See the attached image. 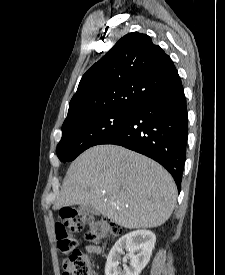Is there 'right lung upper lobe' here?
<instances>
[{
  "label": "right lung upper lobe",
  "mask_w": 225,
  "mask_h": 275,
  "mask_svg": "<svg viewBox=\"0 0 225 275\" xmlns=\"http://www.w3.org/2000/svg\"><path fill=\"white\" fill-rule=\"evenodd\" d=\"M180 84L171 58L148 35L129 33L83 75L63 126L97 113L132 110Z\"/></svg>",
  "instance_id": "obj_1"
}]
</instances>
